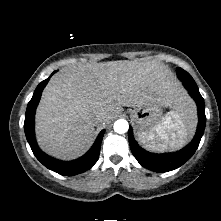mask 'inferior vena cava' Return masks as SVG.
<instances>
[{
  "label": "inferior vena cava",
  "instance_id": "inferior-vena-cava-1",
  "mask_svg": "<svg viewBox=\"0 0 221 221\" xmlns=\"http://www.w3.org/2000/svg\"><path fill=\"white\" fill-rule=\"evenodd\" d=\"M96 123H102L105 121V116L103 114L96 115Z\"/></svg>",
  "mask_w": 221,
  "mask_h": 221
}]
</instances>
